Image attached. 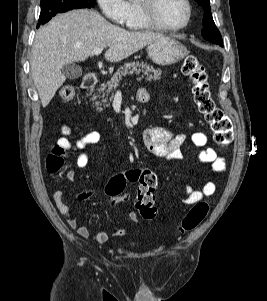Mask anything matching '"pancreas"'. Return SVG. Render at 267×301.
I'll use <instances>...</instances> for the list:
<instances>
[{
	"instance_id": "cf45deb5",
	"label": "pancreas",
	"mask_w": 267,
	"mask_h": 301,
	"mask_svg": "<svg viewBox=\"0 0 267 301\" xmlns=\"http://www.w3.org/2000/svg\"><path fill=\"white\" fill-rule=\"evenodd\" d=\"M136 73L139 75L140 73L144 76H147L149 81L158 80L161 77L162 71L161 69H155L153 66H150L146 63L139 62H131L126 63L124 66H121L113 77L107 81L106 83L101 84V87L98 89L99 94L94 95V97L99 96L102 98L101 102L97 101L96 105L98 106L101 103H106L109 96H112L119 85V82L122 80V77H125L128 74ZM97 110H101L100 107H97Z\"/></svg>"
}]
</instances>
